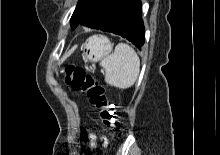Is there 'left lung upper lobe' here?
<instances>
[{"mask_svg": "<svg viewBox=\"0 0 220 155\" xmlns=\"http://www.w3.org/2000/svg\"><path fill=\"white\" fill-rule=\"evenodd\" d=\"M96 1L97 0H79L70 20L71 27L73 29H75L78 26L84 14Z\"/></svg>", "mask_w": 220, "mask_h": 155, "instance_id": "left-lung-upper-lobe-1", "label": "left lung upper lobe"}]
</instances>
